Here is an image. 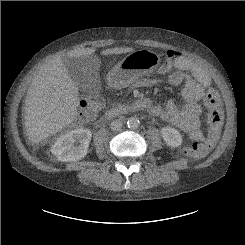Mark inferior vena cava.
<instances>
[{
  "label": "inferior vena cava",
  "mask_w": 245,
  "mask_h": 245,
  "mask_svg": "<svg viewBox=\"0 0 245 245\" xmlns=\"http://www.w3.org/2000/svg\"><path fill=\"white\" fill-rule=\"evenodd\" d=\"M110 128L112 131H120L122 128V122L120 120H113L111 122Z\"/></svg>",
  "instance_id": "obj_1"
}]
</instances>
